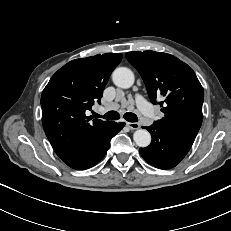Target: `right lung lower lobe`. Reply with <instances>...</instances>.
Segmentation results:
<instances>
[{
  "instance_id": "right-lung-lower-lobe-1",
  "label": "right lung lower lobe",
  "mask_w": 231,
  "mask_h": 231,
  "mask_svg": "<svg viewBox=\"0 0 231 231\" xmlns=\"http://www.w3.org/2000/svg\"><path fill=\"white\" fill-rule=\"evenodd\" d=\"M125 123H115L113 122L111 128L108 133L93 143L85 152L83 157L74 165L70 166L71 168L82 170L88 169L94 165H96L107 153V150L110 146L111 138L120 132V130L124 127Z\"/></svg>"
}]
</instances>
